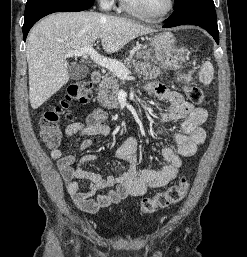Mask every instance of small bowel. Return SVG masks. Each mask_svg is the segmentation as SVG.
Returning a JSON list of instances; mask_svg holds the SVG:
<instances>
[{"mask_svg":"<svg viewBox=\"0 0 247 257\" xmlns=\"http://www.w3.org/2000/svg\"><path fill=\"white\" fill-rule=\"evenodd\" d=\"M144 89L150 96L170 103V107L159 114L156 126V132L169 136L175 143L174 147L166 146L161 150L166 164L160 170L145 169L139 172L135 156L138 140L133 136L125 140L115 152L120 162L129 165L118 177L104 176L83 169V164L97 161V157L92 154L83 155L77 160L76 153L66 155L60 149L52 150L50 157L66 183L68 194L81 210L94 214L100 208L119 203L127 196H142L149 189L164 187L178 176L183 158L193 156L198 147L205 142L206 133L201 128L207 118L205 109L187 102L182 94L170 91L161 83H150ZM106 119L107 113L102 109H96L88 115L85 123L73 122L67 125L65 136H107L110 129L105 123ZM175 122H181L179 129L168 126ZM93 142L92 138L83 140L77 145L76 151L89 148ZM102 189L109 190L97 194V191Z\"/></svg>","mask_w":247,"mask_h":257,"instance_id":"1","label":"small bowel"}]
</instances>
